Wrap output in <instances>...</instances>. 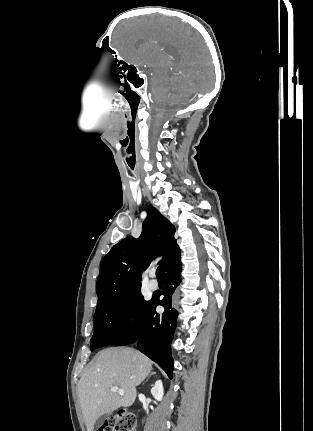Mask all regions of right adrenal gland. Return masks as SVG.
<instances>
[{"label": "right adrenal gland", "mask_w": 313, "mask_h": 431, "mask_svg": "<svg viewBox=\"0 0 313 431\" xmlns=\"http://www.w3.org/2000/svg\"><path fill=\"white\" fill-rule=\"evenodd\" d=\"M156 373L155 372H151V374L146 378V380H148V378L150 377V376H153V375H155Z\"/></svg>", "instance_id": "1"}]
</instances>
